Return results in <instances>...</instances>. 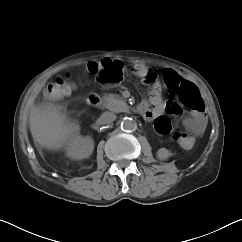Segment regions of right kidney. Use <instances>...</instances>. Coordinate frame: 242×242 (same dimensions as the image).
I'll list each match as a JSON object with an SVG mask.
<instances>
[{"label": "right kidney", "instance_id": "ca27d5eb", "mask_svg": "<svg viewBox=\"0 0 242 242\" xmlns=\"http://www.w3.org/2000/svg\"><path fill=\"white\" fill-rule=\"evenodd\" d=\"M78 130L77 124L71 125V134L67 143V156L75 160L88 158L94 149L93 139L89 136H80Z\"/></svg>", "mask_w": 242, "mask_h": 242}]
</instances>
